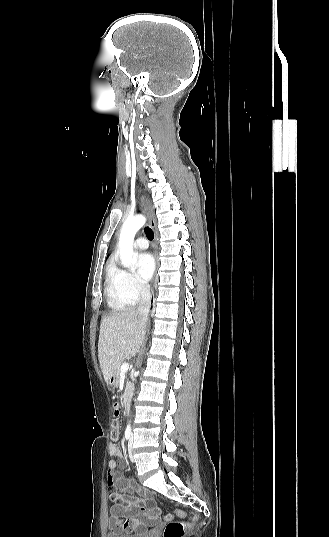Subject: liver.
I'll list each match as a JSON object with an SVG mask.
<instances>
[{"instance_id":"1","label":"liver","mask_w":329,"mask_h":537,"mask_svg":"<svg viewBox=\"0 0 329 537\" xmlns=\"http://www.w3.org/2000/svg\"><path fill=\"white\" fill-rule=\"evenodd\" d=\"M144 321L143 316L134 309L102 319L98 357L107 384L116 375L122 361L138 353L143 340Z\"/></svg>"}]
</instances>
